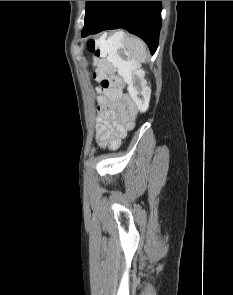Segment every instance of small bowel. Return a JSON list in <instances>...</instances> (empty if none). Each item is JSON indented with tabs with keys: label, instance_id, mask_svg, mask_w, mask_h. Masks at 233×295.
I'll use <instances>...</instances> for the list:
<instances>
[{
	"label": "small bowel",
	"instance_id": "obj_1",
	"mask_svg": "<svg viewBox=\"0 0 233 295\" xmlns=\"http://www.w3.org/2000/svg\"><path fill=\"white\" fill-rule=\"evenodd\" d=\"M98 102L96 139L102 147H116L125 133L134 126V102L124 91L101 94Z\"/></svg>",
	"mask_w": 233,
	"mask_h": 295
}]
</instances>
